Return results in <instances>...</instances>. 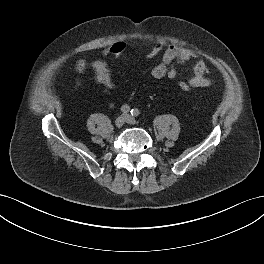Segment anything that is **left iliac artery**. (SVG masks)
<instances>
[{
  "mask_svg": "<svg viewBox=\"0 0 264 264\" xmlns=\"http://www.w3.org/2000/svg\"><path fill=\"white\" fill-rule=\"evenodd\" d=\"M140 114L139 110L138 109H132L131 110V115L132 116H138Z\"/></svg>",
  "mask_w": 264,
  "mask_h": 264,
  "instance_id": "1",
  "label": "left iliac artery"
}]
</instances>
